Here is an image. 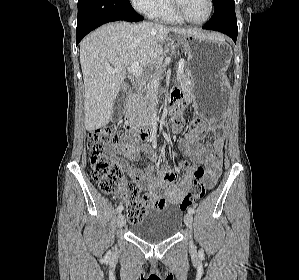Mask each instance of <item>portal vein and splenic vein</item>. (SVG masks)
<instances>
[{
	"label": "portal vein and splenic vein",
	"mask_w": 299,
	"mask_h": 280,
	"mask_svg": "<svg viewBox=\"0 0 299 280\" xmlns=\"http://www.w3.org/2000/svg\"><path fill=\"white\" fill-rule=\"evenodd\" d=\"M183 68H184V62L182 61L181 63H179L178 66V70H177V80L180 79L181 74L183 73ZM107 71L109 73L115 74V73H119V70H114L112 68H108ZM128 73L135 75L136 77H140L141 74L143 73V68L139 65L138 62L133 63L131 66H129L127 68ZM150 85L151 87H153L156 91L159 88V82L157 81V79L153 78L150 81Z\"/></svg>",
	"instance_id": "portal-vein-and-splenic-vein-1"
}]
</instances>
